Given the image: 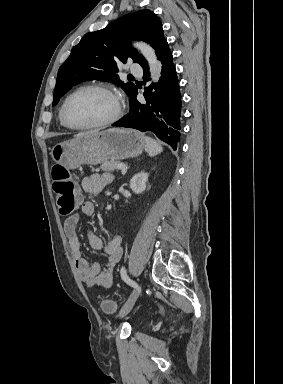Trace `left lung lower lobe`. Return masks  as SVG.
I'll list each match as a JSON object with an SVG mask.
<instances>
[{
    "label": "left lung lower lobe",
    "mask_w": 283,
    "mask_h": 384,
    "mask_svg": "<svg viewBox=\"0 0 283 384\" xmlns=\"http://www.w3.org/2000/svg\"><path fill=\"white\" fill-rule=\"evenodd\" d=\"M162 63L161 78L156 85L145 88L146 102L137 99V88L130 97V113L113 124L117 127L151 131L174 150L180 141L181 94L172 53L166 42L157 55ZM144 79L148 81L149 67H143ZM154 88V92L152 91Z\"/></svg>",
    "instance_id": "left-lung-lower-lobe-1"
}]
</instances>
